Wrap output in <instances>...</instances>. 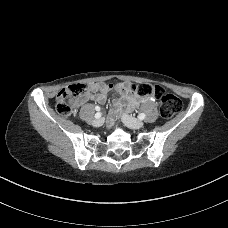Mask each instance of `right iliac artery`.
I'll return each instance as SVG.
<instances>
[{"label": "right iliac artery", "instance_id": "1", "mask_svg": "<svg viewBox=\"0 0 228 228\" xmlns=\"http://www.w3.org/2000/svg\"><path fill=\"white\" fill-rule=\"evenodd\" d=\"M97 110L99 111V109L97 108ZM101 113L100 112H97L96 114H95V118L96 119H99L100 117H101Z\"/></svg>", "mask_w": 228, "mask_h": 228}]
</instances>
